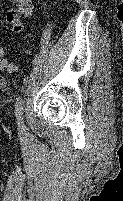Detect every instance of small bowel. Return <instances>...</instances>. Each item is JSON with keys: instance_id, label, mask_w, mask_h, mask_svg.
Listing matches in <instances>:
<instances>
[{"instance_id": "c3829d8e", "label": "small bowel", "mask_w": 123, "mask_h": 201, "mask_svg": "<svg viewBox=\"0 0 123 201\" xmlns=\"http://www.w3.org/2000/svg\"><path fill=\"white\" fill-rule=\"evenodd\" d=\"M13 8L10 9L5 15V24L8 25L12 32L18 33L22 30V18L28 17L33 12L32 0H10ZM0 51L4 53L2 47Z\"/></svg>"}]
</instances>
